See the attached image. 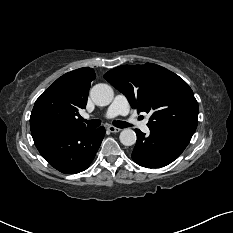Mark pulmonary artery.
<instances>
[{
    "label": "pulmonary artery",
    "instance_id": "pulmonary-artery-1",
    "mask_svg": "<svg viewBox=\"0 0 233 233\" xmlns=\"http://www.w3.org/2000/svg\"><path fill=\"white\" fill-rule=\"evenodd\" d=\"M129 113V103L127 98L124 95H117L112 102V104L109 106L105 113V118L111 119L116 116H126ZM127 121L132 124H136L137 121L136 119L129 117L127 118ZM139 128L145 132H149V127L147 125V121L139 123Z\"/></svg>",
    "mask_w": 233,
    "mask_h": 233
}]
</instances>
